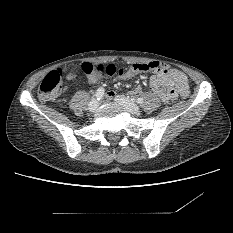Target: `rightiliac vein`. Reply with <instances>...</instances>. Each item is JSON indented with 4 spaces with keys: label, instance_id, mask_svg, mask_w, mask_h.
<instances>
[{
    "label": "right iliac vein",
    "instance_id": "obj_1",
    "mask_svg": "<svg viewBox=\"0 0 233 233\" xmlns=\"http://www.w3.org/2000/svg\"><path fill=\"white\" fill-rule=\"evenodd\" d=\"M98 106H99V102L97 100L93 99L89 103L88 109H89V111L94 112L98 108Z\"/></svg>",
    "mask_w": 233,
    "mask_h": 233
}]
</instances>
